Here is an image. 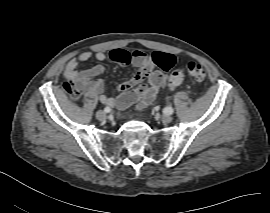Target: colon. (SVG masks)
Segmentation results:
<instances>
[{
    "instance_id": "5ec220e1",
    "label": "colon",
    "mask_w": 270,
    "mask_h": 213,
    "mask_svg": "<svg viewBox=\"0 0 270 213\" xmlns=\"http://www.w3.org/2000/svg\"><path fill=\"white\" fill-rule=\"evenodd\" d=\"M140 53H143L140 50H134L132 52H128L126 50H122V49H116L110 52V57L111 59H113L116 62L119 63H127L130 61L132 56H137ZM148 57V56H147ZM152 62L166 68L169 69L171 67L172 64V57L170 55L167 54H163V53H157L153 56L148 57ZM187 69L188 72L190 74V76L197 80V81H203L205 79L206 73L204 68L196 63V62H189L187 64ZM149 74V69L148 68H143L140 72L139 75L141 77H146ZM183 82V73L181 70H174L171 72L170 74V78H169V86L171 88H175L178 87L179 85H181ZM68 94L75 98L76 94L69 88H66Z\"/></svg>"
}]
</instances>
